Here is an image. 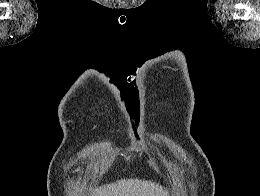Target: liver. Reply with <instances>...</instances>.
<instances>
[{"label":"liver","mask_w":260,"mask_h":196,"mask_svg":"<svg viewBox=\"0 0 260 196\" xmlns=\"http://www.w3.org/2000/svg\"><path fill=\"white\" fill-rule=\"evenodd\" d=\"M92 196H169L168 190L145 180H118L93 190Z\"/></svg>","instance_id":"6515ba94"}]
</instances>
